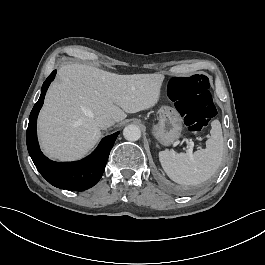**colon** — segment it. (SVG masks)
Listing matches in <instances>:
<instances>
[{
	"label": "colon",
	"instance_id": "obj_1",
	"mask_svg": "<svg viewBox=\"0 0 265 265\" xmlns=\"http://www.w3.org/2000/svg\"><path fill=\"white\" fill-rule=\"evenodd\" d=\"M172 96L178 99L177 109L185 116V122L192 132L206 128L216 115V106L211 96L209 78L195 73L189 77H176L169 86Z\"/></svg>",
	"mask_w": 265,
	"mask_h": 265
}]
</instances>
